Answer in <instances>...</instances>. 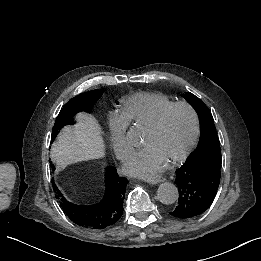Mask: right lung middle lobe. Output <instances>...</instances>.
Instances as JSON below:
<instances>
[{
    "instance_id": "right-lung-middle-lobe-1",
    "label": "right lung middle lobe",
    "mask_w": 261,
    "mask_h": 261,
    "mask_svg": "<svg viewBox=\"0 0 261 261\" xmlns=\"http://www.w3.org/2000/svg\"><path fill=\"white\" fill-rule=\"evenodd\" d=\"M102 90H92L82 93L71 99L60 111L52 131V141L57 136L60 129L68 124H74L73 116L79 112L90 113L94 103L101 97ZM53 169H55L52 164Z\"/></svg>"
}]
</instances>
